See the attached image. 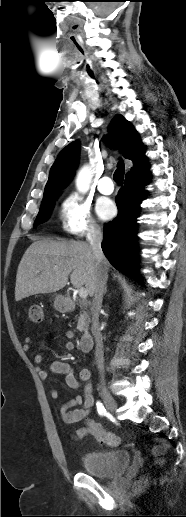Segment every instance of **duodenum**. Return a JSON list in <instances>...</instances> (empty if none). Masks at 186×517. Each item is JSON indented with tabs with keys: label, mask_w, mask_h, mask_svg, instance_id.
Wrapping results in <instances>:
<instances>
[{
	"label": "duodenum",
	"mask_w": 186,
	"mask_h": 517,
	"mask_svg": "<svg viewBox=\"0 0 186 517\" xmlns=\"http://www.w3.org/2000/svg\"><path fill=\"white\" fill-rule=\"evenodd\" d=\"M63 301L65 303L64 307L66 308L67 311H73L74 310L75 306L70 301L69 298H63ZM79 344H80V349L83 352H89L92 349V346H93V336H92V334L89 331H85L82 334V336L80 337Z\"/></svg>",
	"instance_id": "410a0bca"
}]
</instances>
